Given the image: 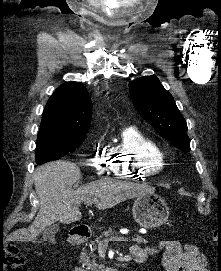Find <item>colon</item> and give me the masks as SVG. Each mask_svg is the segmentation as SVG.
Wrapping results in <instances>:
<instances>
[{
  "instance_id": "5ec220e1",
  "label": "colon",
  "mask_w": 221,
  "mask_h": 271,
  "mask_svg": "<svg viewBox=\"0 0 221 271\" xmlns=\"http://www.w3.org/2000/svg\"><path fill=\"white\" fill-rule=\"evenodd\" d=\"M0 271H28L24 265V258L19 249L10 245L6 249V253L0 259Z\"/></svg>"
}]
</instances>
